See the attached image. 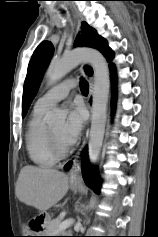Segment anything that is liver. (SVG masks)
<instances>
[{
    "mask_svg": "<svg viewBox=\"0 0 158 237\" xmlns=\"http://www.w3.org/2000/svg\"><path fill=\"white\" fill-rule=\"evenodd\" d=\"M68 188V176L65 173L27 165L20 171L16 196L21 202L44 212L59 202Z\"/></svg>",
    "mask_w": 158,
    "mask_h": 237,
    "instance_id": "6515ba94",
    "label": "liver"
}]
</instances>
